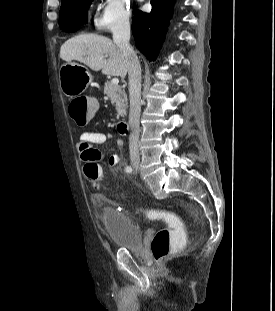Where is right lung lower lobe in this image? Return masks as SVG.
<instances>
[{"mask_svg":"<svg viewBox=\"0 0 275 311\" xmlns=\"http://www.w3.org/2000/svg\"><path fill=\"white\" fill-rule=\"evenodd\" d=\"M174 3L175 0H151V12L139 11L133 18L132 31L135 43L150 61L155 60L164 41Z\"/></svg>","mask_w":275,"mask_h":311,"instance_id":"obj_1","label":"right lung lower lobe"}]
</instances>
